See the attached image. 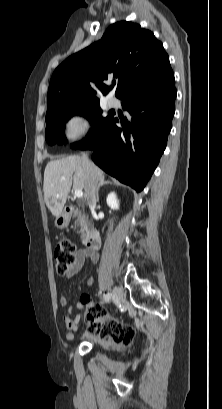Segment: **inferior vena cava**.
Listing matches in <instances>:
<instances>
[{
	"label": "inferior vena cava",
	"instance_id": "602c4592",
	"mask_svg": "<svg viewBox=\"0 0 222 409\" xmlns=\"http://www.w3.org/2000/svg\"><path fill=\"white\" fill-rule=\"evenodd\" d=\"M81 159L86 172L85 199L90 210L93 212L96 207V191L100 179L94 169L93 163L88 158L87 152L82 153Z\"/></svg>",
	"mask_w": 222,
	"mask_h": 409
}]
</instances>
